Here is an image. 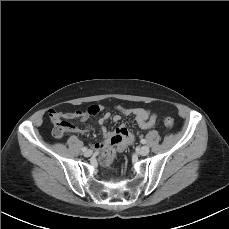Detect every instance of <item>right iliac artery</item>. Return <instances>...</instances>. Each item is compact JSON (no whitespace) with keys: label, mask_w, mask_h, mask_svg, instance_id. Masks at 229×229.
I'll list each match as a JSON object with an SVG mask.
<instances>
[{"label":"right iliac artery","mask_w":229,"mask_h":229,"mask_svg":"<svg viewBox=\"0 0 229 229\" xmlns=\"http://www.w3.org/2000/svg\"><path fill=\"white\" fill-rule=\"evenodd\" d=\"M87 150H88L87 147H83V148H82V151H83V152H85V151H87Z\"/></svg>","instance_id":"1"}]
</instances>
